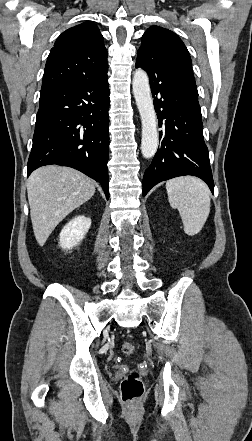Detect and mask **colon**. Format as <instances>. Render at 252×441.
<instances>
[{
  "label": "colon",
  "mask_w": 252,
  "mask_h": 441,
  "mask_svg": "<svg viewBox=\"0 0 252 441\" xmlns=\"http://www.w3.org/2000/svg\"><path fill=\"white\" fill-rule=\"evenodd\" d=\"M122 352L126 355H132L135 352V346L132 343H124ZM144 387L140 374L136 370L130 371L121 382L122 398L127 403L138 401L143 395Z\"/></svg>",
  "instance_id": "5ec220e1"
}]
</instances>
